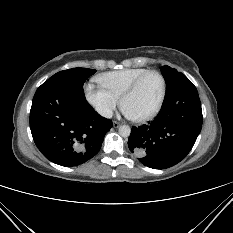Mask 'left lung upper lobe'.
<instances>
[{
    "label": "left lung upper lobe",
    "mask_w": 233,
    "mask_h": 233,
    "mask_svg": "<svg viewBox=\"0 0 233 233\" xmlns=\"http://www.w3.org/2000/svg\"><path fill=\"white\" fill-rule=\"evenodd\" d=\"M162 75L166 81V90L173 84L176 76L180 73L176 69H173L167 65L161 67Z\"/></svg>",
    "instance_id": "1"
}]
</instances>
